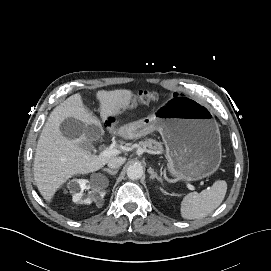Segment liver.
I'll use <instances>...</instances> for the list:
<instances>
[{"label": "liver", "mask_w": 271, "mask_h": 271, "mask_svg": "<svg viewBox=\"0 0 271 271\" xmlns=\"http://www.w3.org/2000/svg\"><path fill=\"white\" fill-rule=\"evenodd\" d=\"M99 112L103 122L125 110L133 97L129 90L99 91ZM67 118L77 119L84 124H97L96 118L83 105L81 96L75 94L58 105L50 114L40 134L33 174L37 188L46 201H50L58 188L76 174H87L101 169L108 161L116 157L90 154L81 146L88 142L84 136L69 140L60 131L61 123ZM112 134L123 135V128L107 126Z\"/></svg>", "instance_id": "liver-1"}]
</instances>
